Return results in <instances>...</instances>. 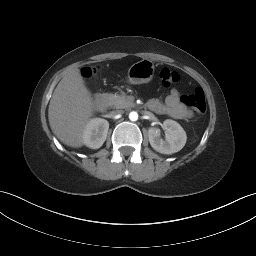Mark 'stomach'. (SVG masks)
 <instances>
[{
  "mask_svg": "<svg viewBox=\"0 0 256 256\" xmlns=\"http://www.w3.org/2000/svg\"><path fill=\"white\" fill-rule=\"evenodd\" d=\"M154 64L150 60H141L134 63L127 74V81L130 84L148 83L154 76Z\"/></svg>",
  "mask_w": 256,
  "mask_h": 256,
  "instance_id": "stomach-1",
  "label": "stomach"
}]
</instances>
